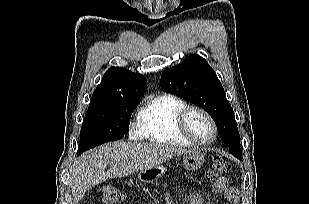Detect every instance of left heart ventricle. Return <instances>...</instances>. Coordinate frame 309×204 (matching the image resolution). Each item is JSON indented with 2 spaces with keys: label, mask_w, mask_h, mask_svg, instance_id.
<instances>
[{
  "label": "left heart ventricle",
  "mask_w": 309,
  "mask_h": 204,
  "mask_svg": "<svg viewBox=\"0 0 309 204\" xmlns=\"http://www.w3.org/2000/svg\"><path fill=\"white\" fill-rule=\"evenodd\" d=\"M188 127L199 141H208L212 137V128L207 119L199 112H191L188 116Z\"/></svg>",
  "instance_id": "obj_1"
}]
</instances>
